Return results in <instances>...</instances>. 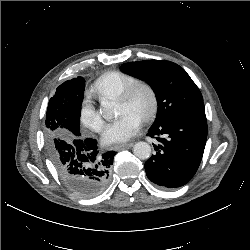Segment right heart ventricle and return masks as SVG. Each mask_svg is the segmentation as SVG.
I'll return each instance as SVG.
<instances>
[{
	"mask_svg": "<svg viewBox=\"0 0 250 250\" xmlns=\"http://www.w3.org/2000/svg\"><path fill=\"white\" fill-rule=\"evenodd\" d=\"M136 78L121 71H111L99 77L93 84L91 93L97 98H116L129 85L134 83Z\"/></svg>",
	"mask_w": 250,
	"mask_h": 250,
	"instance_id": "1",
	"label": "right heart ventricle"
}]
</instances>
